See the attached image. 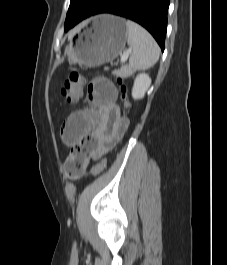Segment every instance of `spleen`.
Masks as SVG:
<instances>
[{"instance_id": "spleen-1", "label": "spleen", "mask_w": 227, "mask_h": 265, "mask_svg": "<svg viewBox=\"0 0 227 265\" xmlns=\"http://www.w3.org/2000/svg\"><path fill=\"white\" fill-rule=\"evenodd\" d=\"M128 31L127 43L132 50L129 66L133 70H146L151 68L159 59L160 48L143 27L128 20L126 22Z\"/></svg>"}]
</instances>
